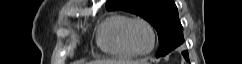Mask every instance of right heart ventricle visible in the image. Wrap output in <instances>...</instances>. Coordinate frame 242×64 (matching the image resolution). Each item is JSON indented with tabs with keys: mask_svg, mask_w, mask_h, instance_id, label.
Returning a JSON list of instances; mask_svg holds the SVG:
<instances>
[{
	"mask_svg": "<svg viewBox=\"0 0 242 64\" xmlns=\"http://www.w3.org/2000/svg\"><path fill=\"white\" fill-rule=\"evenodd\" d=\"M132 18L116 14L108 18L99 28L97 43L102 51L119 58H132L135 54L127 46L124 32Z\"/></svg>",
	"mask_w": 242,
	"mask_h": 64,
	"instance_id": "1",
	"label": "right heart ventricle"
}]
</instances>
